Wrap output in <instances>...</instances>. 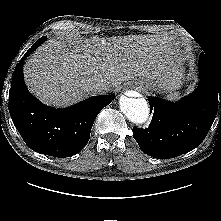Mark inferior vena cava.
Masks as SVG:
<instances>
[{
	"instance_id": "obj_1",
	"label": "inferior vena cava",
	"mask_w": 221,
	"mask_h": 221,
	"mask_svg": "<svg viewBox=\"0 0 221 221\" xmlns=\"http://www.w3.org/2000/svg\"><path fill=\"white\" fill-rule=\"evenodd\" d=\"M91 89L95 92V93H104L107 92L111 89V85L108 81L101 79L95 83L92 84Z\"/></svg>"
}]
</instances>
